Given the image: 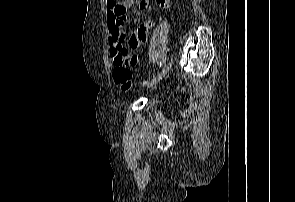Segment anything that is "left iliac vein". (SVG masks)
I'll list each match as a JSON object with an SVG mask.
<instances>
[{"label":"left iliac vein","instance_id":"4c4485c4","mask_svg":"<svg viewBox=\"0 0 295 202\" xmlns=\"http://www.w3.org/2000/svg\"><path fill=\"white\" fill-rule=\"evenodd\" d=\"M172 67V60H170L164 67L160 70V72L150 81L148 82L145 87L150 88L160 82L169 72Z\"/></svg>","mask_w":295,"mask_h":202}]
</instances>
